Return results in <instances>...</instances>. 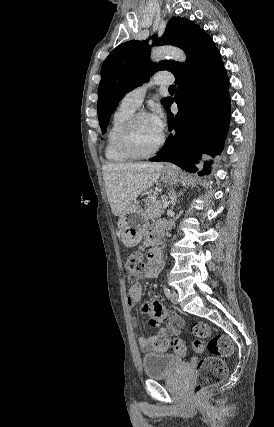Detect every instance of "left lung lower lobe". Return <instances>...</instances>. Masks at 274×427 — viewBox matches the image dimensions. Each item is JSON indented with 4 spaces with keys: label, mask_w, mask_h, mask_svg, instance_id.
I'll use <instances>...</instances> for the list:
<instances>
[{
    "label": "left lung lower lobe",
    "mask_w": 274,
    "mask_h": 427,
    "mask_svg": "<svg viewBox=\"0 0 274 427\" xmlns=\"http://www.w3.org/2000/svg\"><path fill=\"white\" fill-rule=\"evenodd\" d=\"M188 62L174 75L177 91L165 105L169 130L175 134H170L150 161L172 162L193 173L198 171L194 164L202 153L215 156L221 152L230 119V96L226 70L211 38L196 47ZM173 102L179 107L175 116L169 108ZM198 174H209V165L205 163Z\"/></svg>",
    "instance_id": "1"
}]
</instances>
